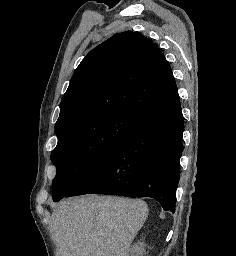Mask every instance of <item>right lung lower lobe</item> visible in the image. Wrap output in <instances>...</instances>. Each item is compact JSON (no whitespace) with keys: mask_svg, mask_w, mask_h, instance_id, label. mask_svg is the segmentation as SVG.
Instances as JSON below:
<instances>
[{"mask_svg":"<svg viewBox=\"0 0 236 256\" xmlns=\"http://www.w3.org/2000/svg\"><path fill=\"white\" fill-rule=\"evenodd\" d=\"M184 121L179 98L144 119L65 197L108 194L152 197L175 212Z\"/></svg>","mask_w":236,"mask_h":256,"instance_id":"right-lung-lower-lobe-1","label":"right lung lower lobe"}]
</instances>
